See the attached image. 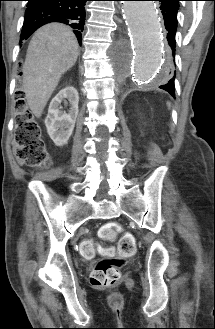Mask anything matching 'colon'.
Returning <instances> with one entry per match:
<instances>
[{
	"label": "colon",
	"instance_id": "5ec220e1",
	"mask_svg": "<svg viewBox=\"0 0 215 329\" xmlns=\"http://www.w3.org/2000/svg\"><path fill=\"white\" fill-rule=\"evenodd\" d=\"M24 66H15V73H24ZM16 157L23 163L33 167H45L51 163V158L41 138V130L33 118L32 113L26 107L23 100L16 103ZM120 227L117 223H107L99 230V236L112 242L118 235ZM81 253L91 256L94 248L90 241L81 245ZM136 251L135 238L130 234L123 235L118 242V255H114L113 248H103L101 252L105 255L99 260L91 273V284L95 287H111L117 284L120 278V268L125 260Z\"/></svg>",
	"mask_w": 215,
	"mask_h": 329
}]
</instances>
